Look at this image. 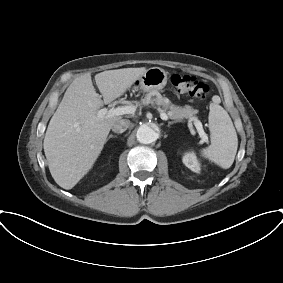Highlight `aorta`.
Returning a JSON list of instances; mask_svg holds the SVG:
<instances>
[{"label": "aorta", "mask_w": 283, "mask_h": 283, "mask_svg": "<svg viewBox=\"0 0 283 283\" xmlns=\"http://www.w3.org/2000/svg\"><path fill=\"white\" fill-rule=\"evenodd\" d=\"M137 140L142 144H150L157 140L158 134L148 125H141L136 133Z\"/></svg>", "instance_id": "obj_1"}]
</instances>
